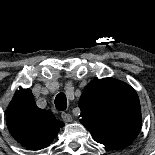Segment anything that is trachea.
Returning a JSON list of instances; mask_svg holds the SVG:
<instances>
[{
    "mask_svg": "<svg viewBox=\"0 0 155 155\" xmlns=\"http://www.w3.org/2000/svg\"><path fill=\"white\" fill-rule=\"evenodd\" d=\"M55 106L59 111H64L67 108V99L64 93H59L55 98Z\"/></svg>",
    "mask_w": 155,
    "mask_h": 155,
    "instance_id": "1",
    "label": "trachea"
}]
</instances>
